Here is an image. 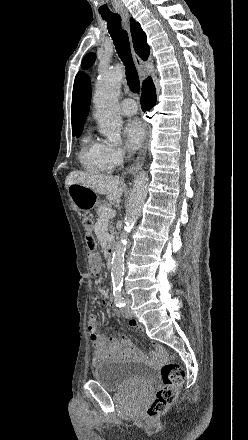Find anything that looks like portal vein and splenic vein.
<instances>
[{
	"label": "portal vein and splenic vein",
	"mask_w": 248,
	"mask_h": 440,
	"mask_svg": "<svg viewBox=\"0 0 248 440\" xmlns=\"http://www.w3.org/2000/svg\"><path fill=\"white\" fill-rule=\"evenodd\" d=\"M116 214V211L111 208L103 209L100 215V219L102 220H109L113 218Z\"/></svg>",
	"instance_id": "1"
}]
</instances>
